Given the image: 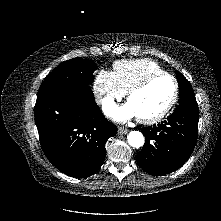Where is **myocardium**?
<instances>
[{"label":"myocardium","instance_id":"myocardium-1","mask_svg":"<svg viewBox=\"0 0 221 221\" xmlns=\"http://www.w3.org/2000/svg\"><path fill=\"white\" fill-rule=\"evenodd\" d=\"M163 77L169 78L172 81L173 86H174L173 96H172L171 100L169 101V103L166 105V107L158 114L151 116V117H137V120L143 124L157 123V122L161 121L163 118H165L168 115V113L172 110V108L176 104L178 96H179V85H178L176 78L167 72L156 73V74L146 77L141 82L137 83L132 88H130L126 93V99H127V101H129V99L134 94L145 89L154 80L159 79V78H163Z\"/></svg>","mask_w":221,"mask_h":221}]
</instances>
